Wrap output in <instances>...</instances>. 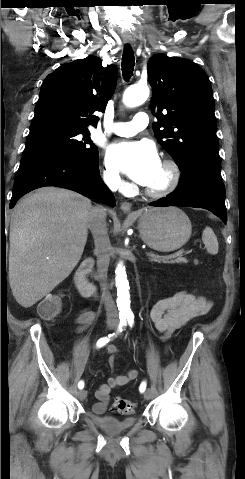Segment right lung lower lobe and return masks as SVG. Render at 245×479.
<instances>
[{
	"mask_svg": "<svg viewBox=\"0 0 245 479\" xmlns=\"http://www.w3.org/2000/svg\"><path fill=\"white\" fill-rule=\"evenodd\" d=\"M45 186L70 189L115 205L112 193L100 178L98 164L65 154H44L21 161L10 208L26 193Z\"/></svg>",
	"mask_w": 245,
	"mask_h": 479,
	"instance_id": "98d812e1",
	"label": "right lung lower lobe"
}]
</instances>
